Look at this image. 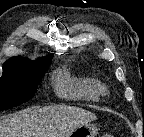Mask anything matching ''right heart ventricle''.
Here are the masks:
<instances>
[{
	"mask_svg": "<svg viewBox=\"0 0 144 137\" xmlns=\"http://www.w3.org/2000/svg\"><path fill=\"white\" fill-rule=\"evenodd\" d=\"M57 95L69 101H97L100 84L90 76L78 75L70 69L59 70L53 79Z\"/></svg>",
	"mask_w": 144,
	"mask_h": 137,
	"instance_id": "e07e8e85",
	"label": "right heart ventricle"
}]
</instances>
